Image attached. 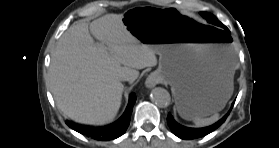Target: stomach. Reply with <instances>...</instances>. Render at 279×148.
<instances>
[{
	"label": "stomach",
	"instance_id": "1",
	"mask_svg": "<svg viewBox=\"0 0 279 148\" xmlns=\"http://www.w3.org/2000/svg\"><path fill=\"white\" fill-rule=\"evenodd\" d=\"M126 29L160 56L157 74L169 84L184 119L224 108L233 91L235 60L223 28L160 5H135L123 16Z\"/></svg>",
	"mask_w": 279,
	"mask_h": 148
}]
</instances>
